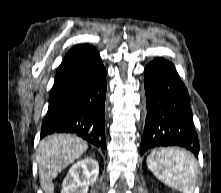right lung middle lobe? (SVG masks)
Listing matches in <instances>:
<instances>
[{
  "label": "right lung middle lobe",
  "mask_w": 221,
  "mask_h": 193,
  "mask_svg": "<svg viewBox=\"0 0 221 193\" xmlns=\"http://www.w3.org/2000/svg\"><path fill=\"white\" fill-rule=\"evenodd\" d=\"M55 109H56V107L53 104L49 103V108H48V112L47 113H49V112H51V111H53Z\"/></svg>",
  "instance_id": "dd1d6c3e"
}]
</instances>
